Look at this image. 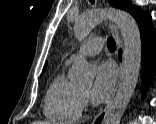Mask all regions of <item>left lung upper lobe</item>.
I'll return each mask as SVG.
<instances>
[{"instance_id":"obj_1","label":"left lung upper lobe","mask_w":156,"mask_h":124,"mask_svg":"<svg viewBox=\"0 0 156 124\" xmlns=\"http://www.w3.org/2000/svg\"><path fill=\"white\" fill-rule=\"evenodd\" d=\"M109 3L116 7L123 10L128 11L131 15L136 11L137 7L132 6L131 2L129 0H108Z\"/></svg>"}]
</instances>
